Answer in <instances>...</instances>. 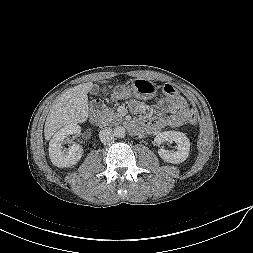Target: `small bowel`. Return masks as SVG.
I'll list each match as a JSON object with an SVG mask.
<instances>
[{
  "label": "small bowel",
  "mask_w": 253,
  "mask_h": 253,
  "mask_svg": "<svg viewBox=\"0 0 253 253\" xmlns=\"http://www.w3.org/2000/svg\"><path fill=\"white\" fill-rule=\"evenodd\" d=\"M157 107L166 117H146L144 115L148 109L147 106L140 101H131L130 110L139 117L131 125L135 129L142 126L148 133H156L168 127H180L188 120L191 114L186 100L181 96L162 99Z\"/></svg>",
  "instance_id": "c3829d8e"
}]
</instances>
